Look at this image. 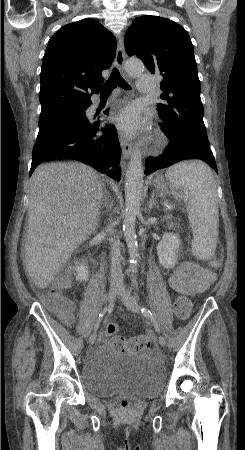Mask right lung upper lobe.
<instances>
[{
	"instance_id": "1",
	"label": "right lung upper lobe",
	"mask_w": 245,
	"mask_h": 450,
	"mask_svg": "<svg viewBox=\"0 0 245 450\" xmlns=\"http://www.w3.org/2000/svg\"><path fill=\"white\" fill-rule=\"evenodd\" d=\"M112 33L93 19L67 24L49 40L41 69V111L85 106L115 56Z\"/></svg>"
}]
</instances>
